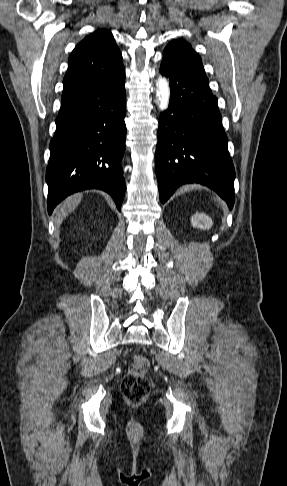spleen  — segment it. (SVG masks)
<instances>
[{
	"label": "spleen",
	"mask_w": 287,
	"mask_h": 486,
	"mask_svg": "<svg viewBox=\"0 0 287 486\" xmlns=\"http://www.w3.org/2000/svg\"><path fill=\"white\" fill-rule=\"evenodd\" d=\"M217 201L220 203V200L219 199H217Z\"/></svg>",
	"instance_id": "3e777b00"
}]
</instances>
